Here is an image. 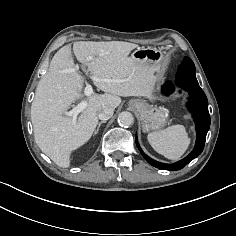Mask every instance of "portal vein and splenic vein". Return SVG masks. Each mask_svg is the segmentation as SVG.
Returning <instances> with one entry per match:
<instances>
[{"mask_svg":"<svg viewBox=\"0 0 236 236\" xmlns=\"http://www.w3.org/2000/svg\"><path fill=\"white\" fill-rule=\"evenodd\" d=\"M91 59H92L91 57L87 58V60H91ZM79 67H80L79 65H76L73 70H78ZM81 68L83 69L85 74L88 75L92 80L102 81V82L107 81V79H100V78H96V77L90 75L89 72L83 66H81ZM84 93L86 96H90L93 93V88H92L91 84H89V83L86 84ZM86 106H87L86 102L82 101L77 106H75L72 110L65 112V114L67 116H71L73 123H76L78 114L81 113L86 108Z\"/></svg>","mask_w":236,"mask_h":236,"instance_id":"1","label":"portal vein and splenic vein"}]
</instances>
